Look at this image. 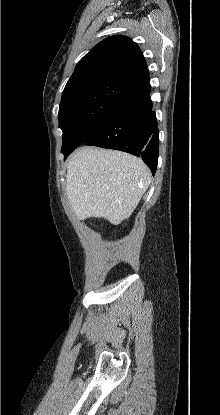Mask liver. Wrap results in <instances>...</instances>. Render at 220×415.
<instances>
[{"instance_id": "1", "label": "liver", "mask_w": 220, "mask_h": 415, "mask_svg": "<svg viewBox=\"0 0 220 415\" xmlns=\"http://www.w3.org/2000/svg\"><path fill=\"white\" fill-rule=\"evenodd\" d=\"M151 181L144 162L128 153L82 147L67 164L66 194L78 219L117 225L139 204Z\"/></svg>"}]
</instances>
